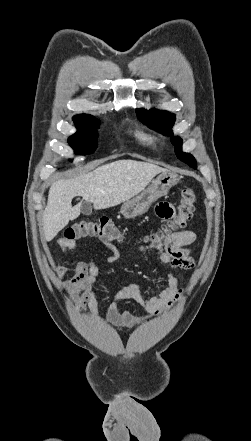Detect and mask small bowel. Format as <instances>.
Returning <instances> with one entry per match:
<instances>
[{
	"mask_svg": "<svg viewBox=\"0 0 251 441\" xmlns=\"http://www.w3.org/2000/svg\"><path fill=\"white\" fill-rule=\"evenodd\" d=\"M156 212L159 217L164 219L174 216V209L169 203H160L156 208ZM196 238L197 235L194 231L183 230L173 233L162 244H141L138 247L139 253H155L158 261L165 266L167 285L158 294L151 297H144L138 284L131 283L123 287L111 297L112 301L106 310L108 322L117 328L126 327L131 329L172 308L182 294V288L179 285L180 275L176 271L194 268L195 261L187 248L195 242ZM59 245L67 254L78 252V247L74 241L61 240ZM118 259L119 254L116 251L103 258L107 263H114ZM54 271L59 276H69L66 289L71 296L75 297L76 309L79 312L88 309L95 319L101 320L102 315L95 296V285L101 274L98 259L92 258L87 262L78 261L73 266L56 263ZM120 300L134 301L148 315L137 317L130 311L120 308L118 305Z\"/></svg>",
	"mask_w": 251,
	"mask_h": 441,
	"instance_id": "c3829d8e",
	"label": "small bowel"
}]
</instances>
